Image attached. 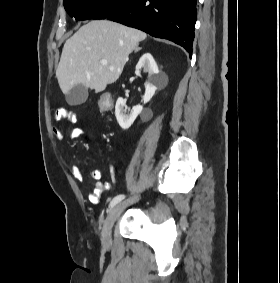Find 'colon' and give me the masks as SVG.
<instances>
[{"instance_id": "obj_1", "label": "colon", "mask_w": 280, "mask_h": 283, "mask_svg": "<svg viewBox=\"0 0 280 283\" xmlns=\"http://www.w3.org/2000/svg\"><path fill=\"white\" fill-rule=\"evenodd\" d=\"M112 103V97L110 96H103L100 101H99V108L98 111L99 112H111L112 108L111 107H107L108 105H110Z\"/></svg>"}]
</instances>
